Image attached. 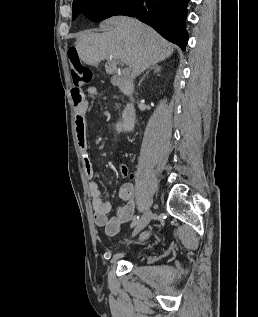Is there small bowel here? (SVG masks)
I'll list each match as a JSON object with an SVG mask.
<instances>
[{"label":"small bowel","instance_id":"small-bowel-1","mask_svg":"<svg viewBox=\"0 0 258 317\" xmlns=\"http://www.w3.org/2000/svg\"><path fill=\"white\" fill-rule=\"evenodd\" d=\"M89 104L86 102L79 107L75 115V131L79 150L83 156V165L87 178L90 180L88 190L91 197L93 218L97 226L104 228L107 236H115L120 231L121 225L129 222L135 213L134 188L131 183H124L119 189V196L122 200L114 216H110L111 203L102 198V194L97 182L93 181L94 168L89 155V142L87 136V119ZM134 125V111L131 107L124 108L122 120L117 124L118 132H128ZM119 173L122 177L133 175L126 164H120Z\"/></svg>","mask_w":258,"mask_h":317}]
</instances>
